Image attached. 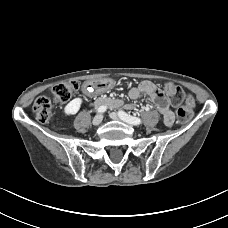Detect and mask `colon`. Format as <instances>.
<instances>
[{
    "instance_id": "colon-1",
    "label": "colon",
    "mask_w": 228,
    "mask_h": 228,
    "mask_svg": "<svg viewBox=\"0 0 228 228\" xmlns=\"http://www.w3.org/2000/svg\"><path fill=\"white\" fill-rule=\"evenodd\" d=\"M78 88L79 83L75 80L63 81L53 87V98L57 103H65L70 100ZM165 91L170 101L178 106V119L181 122L189 121L193 116V109L195 106L194 98L173 83H167L165 85ZM33 112L39 122H48L53 114V107L50 99L46 96H39L36 98L33 104Z\"/></svg>"
}]
</instances>
